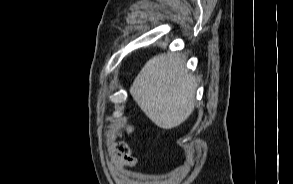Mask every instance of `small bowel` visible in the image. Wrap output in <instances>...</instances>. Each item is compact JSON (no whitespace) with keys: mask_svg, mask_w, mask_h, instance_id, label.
Here are the masks:
<instances>
[{"mask_svg":"<svg viewBox=\"0 0 293 184\" xmlns=\"http://www.w3.org/2000/svg\"><path fill=\"white\" fill-rule=\"evenodd\" d=\"M135 161L133 163L125 162L121 159H113L110 161V168L113 174L120 180L123 181L126 179L127 172L124 169L125 165L134 166Z\"/></svg>","mask_w":293,"mask_h":184,"instance_id":"small-bowel-1","label":"small bowel"}]
</instances>
